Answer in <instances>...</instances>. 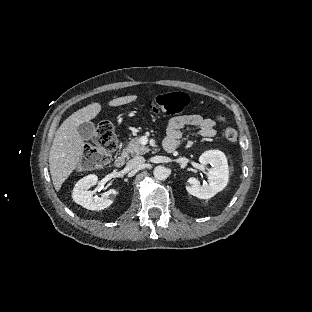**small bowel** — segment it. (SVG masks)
I'll return each instance as SVG.
<instances>
[{
    "mask_svg": "<svg viewBox=\"0 0 312 312\" xmlns=\"http://www.w3.org/2000/svg\"><path fill=\"white\" fill-rule=\"evenodd\" d=\"M185 127H196L205 138L216 135V122L212 118L200 114H182L170 118L167 125V136L164 144L179 145L182 138V129Z\"/></svg>",
    "mask_w": 312,
    "mask_h": 312,
    "instance_id": "1",
    "label": "small bowel"
}]
</instances>
